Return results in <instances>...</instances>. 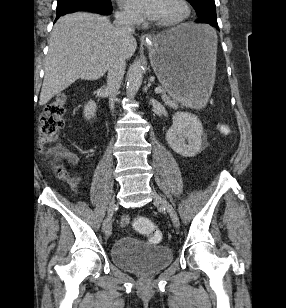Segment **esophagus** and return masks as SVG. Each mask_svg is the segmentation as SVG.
I'll return each instance as SVG.
<instances>
[{
    "instance_id": "34e87169",
    "label": "esophagus",
    "mask_w": 286,
    "mask_h": 308,
    "mask_svg": "<svg viewBox=\"0 0 286 308\" xmlns=\"http://www.w3.org/2000/svg\"><path fill=\"white\" fill-rule=\"evenodd\" d=\"M148 39H151V36L149 34H145L141 37V40L142 41H145V40H148Z\"/></svg>"
}]
</instances>
